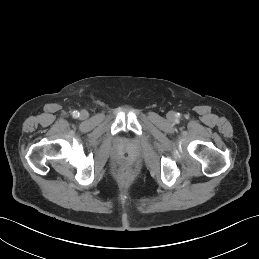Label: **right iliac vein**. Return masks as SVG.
Instances as JSON below:
<instances>
[{
	"label": "right iliac vein",
	"instance_id": "obj_1",
	"mask_svg": "<svg viewBox=\"0 0 259 259\" xmlns=\"http://www.w3.org/2000/svg\"><path fill=\"white\" fill-rule=\"evenodd\" d=\"M87 117H88V112L85 111V110H82V111L80 112V118H81V119H86Z\"/></svg>",
	"mask_w": 259,
	"mask_h": 259
}]
</instances>
